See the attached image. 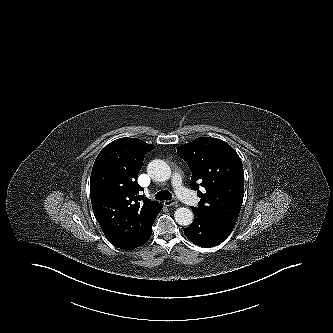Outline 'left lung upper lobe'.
Returning <instances> with one entry per match:
<instances>
[{"label":"left lung upper lobe","mask_w":333,"mask_h":333,"mask_svg":"<svg viewBox=\"0 0 333 333\" xmlns=\"http://www.w3.org/2000/svg\"><path fill=\"white\" fill-rule=\"evenodd\" d=\"M177 153L192 171L191 188L201 198L192 209L234 227L244 196L243 166L236 151L220 139L200 137L180 146Z\"/></svg>","instance_id":"obj_1"}]
</instances>
